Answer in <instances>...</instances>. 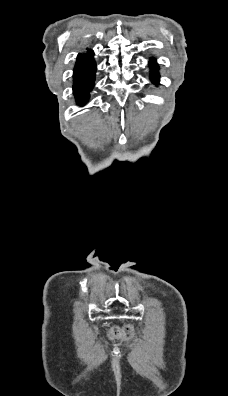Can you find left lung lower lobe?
Returning <instances> with one entry per match:
<instances>
[{"instance_id": "obj_1", "label": "left lung lower lobe", "mask_w": 228, "mask_h": 396, "mask_svg": "<svg viewBox=\"0 0 228 396\" xmlns=\"http://www.w3.org/2000/svg\"><path fill=\"white\" fill-rule=\"evenodd\" d=\"M150 68H151V80L154 83H157L159 79V74L157 72V66L155 61L150 62Z\"/></svg>"}]
</instances>
